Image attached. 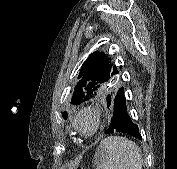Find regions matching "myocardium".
Listing matches in <instances>:
<instances>
[{"instance_id":"f54148a6","label":"myocardium","mask_w":177,"mask_h":169,"mask_svg":"<svg viewBox=\"0 0 177 169\" xmlns=\"http://www.w3.org/2000/svg\"><path fill=\"white\" fill-rule=\"evenodd\" d=\"M87 118L90 121L91 127L89 130H83L80 122L82 119ZM101 121L100 112L91 106L81 108L75 115L73 125L80 135L83 137H90L94 135L99 129Z\"/></svg>"}]
</instances>
